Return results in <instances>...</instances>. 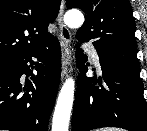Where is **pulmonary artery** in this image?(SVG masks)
Returning a JSON list of instances; mask_svg holds the SVG:
<instances>
[{
    "mask_svg": "<svg viewBox=\"0 0 147 131\" xmlns=\"http://www.w3.org/2000/svg\"><path fill=\"white\" fill-rule=\"evenodd\" d=\"M84 48L86 51H88L93 63L95 64L96 68L100 71L101 70L100 60H99V56H98L96 50L94 49V47H92L90 45H86Z\"/></svg>",
    "mask_w": 147,
    "mask_h": 131,
    "instance_id": "e3ab8cb5",
    "label": "pulmonary artery"
}]
</instances>
